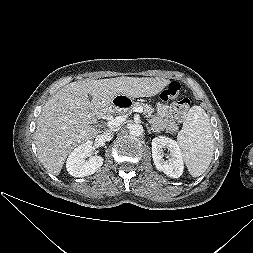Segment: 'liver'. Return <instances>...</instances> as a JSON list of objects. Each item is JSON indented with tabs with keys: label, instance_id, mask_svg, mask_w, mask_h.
<instances>
[{
	"label": "liver",
	"instance_id": "6515ba94",
	"mask_svg": "<svg viewBox=\"0 0 253 253\" xmlns=\"http://www.w3.org/2000/svg\"><path fill=\"white\" fill-rule=\"evenodd\" d=\"M169 83L160 77H117L64 86L43 105L37 119L34 143L39 161L49 174L59 175L74 147L98 137L99 131L93 125L111 111L116 95L151 97Z\"/></svg>",
	"mask_w": 253,
	"mask_h": 253
}]
</instances>
